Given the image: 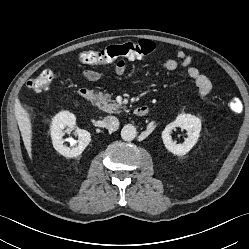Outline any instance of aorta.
I'll return each mask as SVG.
<instances>
[{
    "instance_id": "aorta-1",
    "label": "aorta",
    "mask_w": 249,
    "mask_h": 249,
    "mask_svg": "<svg viewBox=\"0 0 249 249\" xmlns=\"http://www.w3.org/2000/svg\"><path fill=\"white\" fill-rule=\"evenodd\" d=\"M136 128L132 124L125 125L121 130V137L125 141H132L136 137Z\"/></svg>"
}]
</instances>
